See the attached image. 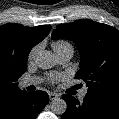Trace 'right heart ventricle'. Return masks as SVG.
Returning <instances> with one entry per match:
<instances>
[{"label": "right heart ventricle", "mask_w": 119, "mask_h": 119, "mask_svg": "<svg viewBox=\"0 0 119 119\" xmlns=\"http://www.w3.org/2000/svg\"><path fill=\"white\" fill-rule=\"evenodd\" d=\"M52 47L56 53L65 50V49H73L72 45L65 40H56L52 42Z\"/></svg>", "instance_id": "1"}]
</instances>
